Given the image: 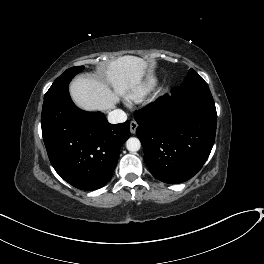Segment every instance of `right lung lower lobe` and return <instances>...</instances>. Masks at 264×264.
Returning a JSON list of instances; mask_svg holds the SVG:
<instances>
[{
    "mask_svg": "<svg viewBox=\"0 0 264 264\" xmlns=\"http://www.w3.org/2000/svg\"><path fill=\"white\" fill-rule=\"evenodd\" d=\"M42 136L55 171L82 190L103 187L112 177L130 122L110 124L100 112L72 102L68 86L44 98Z\"/></svg>",
    "mask_w": 264,
    "mask_h": 264,
    "instance_id": "right-lung-lower-lobe-1",
    "label": "right lung lower lobe"
}]
</instances>
